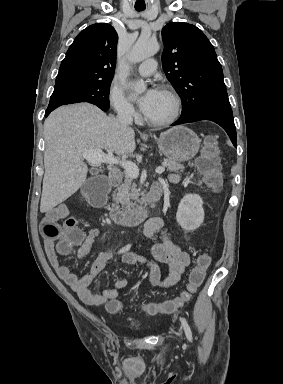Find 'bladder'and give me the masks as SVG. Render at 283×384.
Returning <instances> with one entry per match:
<instances>
[{
    "mask_svg": "<svg viewBox=\"0 0 283 384\" xmlns=\"http://www.w3.org/2000/svg\"><path fill=\"white\" fill-rule=\"evenodd\" d=\"M129 325H130L131 327H134V328H138V327H139V323H138L136 320H131V321L129 322Z\"/></svg>",
    "mask_w": 283,
    "mask_h": 384,
    "instance_id": "bladder-1",
    "label": "bladder"
}]
</instances>
